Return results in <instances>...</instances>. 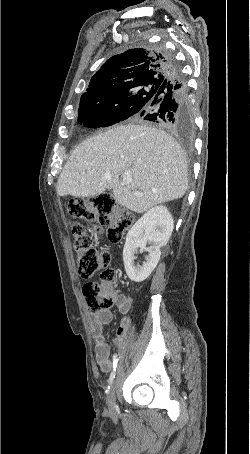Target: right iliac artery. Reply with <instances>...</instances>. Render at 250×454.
<instances>
[{"label":"right iliac artery","instance_id":"right-iliac-artery-1","mask_svg":"<svg viewBox=\"0 0 250 454\" xmlns=\"http://www.w3.org/2000/svg\"><path fill=\"white\" fill-rule=\"evenodd\" d=\"M118 360H119V356L117 354H114L113 355V370H112V372L110 374L108 389H110V385L113 383V380L115 378V373H116Z\"/></svg>","mask_w":250,"mask_h":454}]
</instances>
